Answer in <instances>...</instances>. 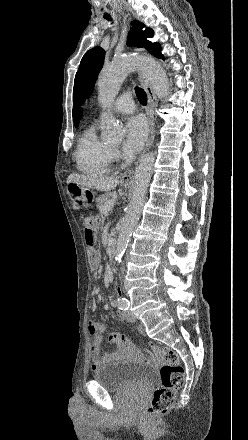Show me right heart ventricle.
Instances as JSON below:
<instances>
[{
  "mask_svg": "<svg viewBox=\"0 0 248 440\" xmlns=\"http://www.w3.org/2000/svg\"><path fill=\"white\" fill-rule=\"evenodd\" d=\"M112 151L97 135L96 126L81 135L75 151L77 168L87 175H105L111 171Z\"/></svg>",
  "mask_w": 248,
  "mask_h": 440,
  "instance_id": "1",
  "label": "right heart ventricle"
}]
</instances>
